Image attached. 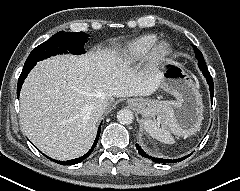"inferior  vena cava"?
Returning a JSON list of instances; mask_svg holds the SVG:
<instances>
[{
    "instance_id": "602c4592",
    "label": "inferior vena cava",
    "mask_w": 240,
    "mask_h": 191,
    "mask_svg": "<svg viewBox=\"0 0 240 191\" xmlns=\"http://www.w3.org/2000/svg\"><path fill=\"white\" fill-rule=\"evenodd\" d=\"M94 108L99 113H104L108 108V100H106V99L97 100V102L94 104Z\"/></svg>"
}]
</instances>
